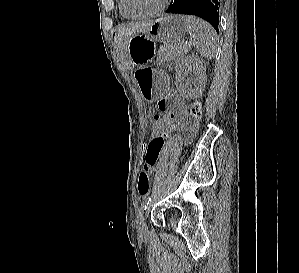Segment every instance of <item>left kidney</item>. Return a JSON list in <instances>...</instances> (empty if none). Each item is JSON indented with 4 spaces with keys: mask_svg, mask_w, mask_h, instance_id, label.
<instances>
[{
    "mask_svg": "<svg viewBox=\"0 0 299 273\" xmlns=\"http://www.w3.org/2000/svg\"><path fill=\"white\" fill-rule=\"evenodd\" d=\"M175 71L177 90L184 97L192 98L202 94L206 85L205 61L195 55L183 56L177 61ZM187 71H192L197 77V85L195 88H191L188 83H184V74Z\"/></svg>",
    "mask_w": 299,
    "mask_h": 273,
    "instance_id": "left-kidney-1",
    "label": "left kidney"
}]
</instances>
